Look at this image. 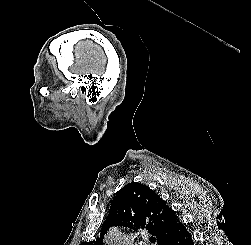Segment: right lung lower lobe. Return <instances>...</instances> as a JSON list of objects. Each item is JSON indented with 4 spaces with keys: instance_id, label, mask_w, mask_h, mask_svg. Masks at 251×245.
Instances as JSON below:
<instances>
[{
    "instance_id": "obj_1",
    "label": "right lung lower lobe",
    "mask_w": 251,
    "mask_h": 245,
    "mask_svg": "<svg viewBox=\"0 0 251 245\" xmlns=\"http://www.w3.org/2000/svg\"><path fill=\"white\" fill-rule=\"evenodd\" d=\"M163 245H193V241L185 227L180 230L175 237L166 241Z\"/></svg>"
}]
</instances>
